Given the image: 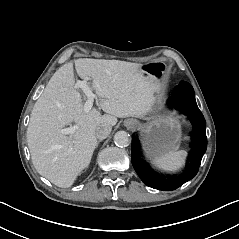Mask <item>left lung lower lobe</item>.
<instances>
[{
    "label": "left lung lower lobe",
    "mask_w": 239,
    "mask_h": 239,
    "mask_svg": "<svg viewBox=\"0 0 239 239\" xmlns=\"http://www.w3.org/2000/svg\"><path fill=\"white\" fill-rule=\"evenodd\" d=\"M168 104L187 115L192 123V139L194 146L193 158L189 169L178 178L167 180L155 178L141 168L137 158V148L134 140H132L131 154L132 165L141 180L149 187L164 191L177 189L182 184L192 179L197 174L202 157L207 149V137L205 132L206 122L196 104L193 87L188 82H180L173 90L172 98L169 99Z\"/></svg>",
    "instance_id": "obj_1"
}]
</instances>
